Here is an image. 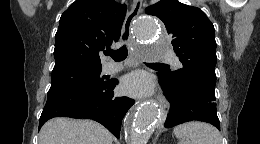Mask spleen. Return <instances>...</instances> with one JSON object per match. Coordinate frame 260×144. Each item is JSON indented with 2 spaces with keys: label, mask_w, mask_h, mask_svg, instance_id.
Returning <instances> with one entry per match:
<instances>
[{
  "label": "spleen",
  "mask_w": 260,
  "mask_h": 144,
  "mask_svg": "<svg viewBox=\"0 0 260 144\" xmlns=\"http://www.w3.org/2000/svg\"><path fill=\"white\" fill-rule=\"evenodd\" d=\"M179 144H222L219 131L207 123L192 121L180 124L173 130Z\"/></svg>",
  "instance_id": "obj_1"
}]
</instances>
